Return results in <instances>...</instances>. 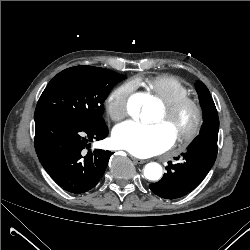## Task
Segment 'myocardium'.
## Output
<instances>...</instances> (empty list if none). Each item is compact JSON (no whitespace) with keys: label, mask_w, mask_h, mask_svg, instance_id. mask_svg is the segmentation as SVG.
Masks as SVG:
<instances>
[{"label":"myocardium","mask_w":250,"mask_h":250,"mask_svg":"<svg viewBox=\"0 0 250 250\" xmlns=\"http://www.w3.org/2000/svg\"><path fill=\"white\" fill-rule=\"evenodd\" d=\"M163 107L167 122L174 121L186 110L192 112L193 119L191 124L186 130L177 132L174 137L180 147L188 146L197 137L204 122V111L199 100L193 96L186 95L171 103L163 104Z\"/></svg>","instance_id":"1"}]
</instances>
